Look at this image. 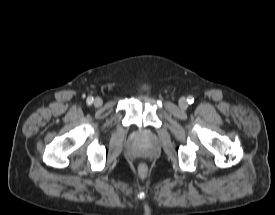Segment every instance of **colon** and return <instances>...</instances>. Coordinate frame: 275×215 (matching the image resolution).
I'll use <instances>...</instances> for the list:
<instances>
[{"label": "colon", "instance_id": "1", "mask_svg": "<svg viewBox=\"0 0 275 215\" xmlns=\"http://www.w3.org/2000/svg\"><path fill=\"white\" fill-rule=\"evenodd\" d=\"M147 171H148V167H147L146 164L141 163V164L138 166V173H139L140 175L146 174Z\"/></svg>", "mask_w": 275, "mask_h": 215}]
</instances>
